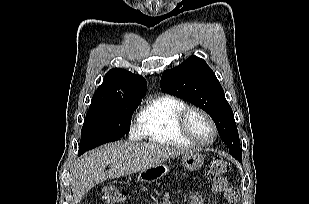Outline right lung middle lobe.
I'll use <instances>...</instances> for the list:
<instances>
[{
  "label": "right lung middle lobe",
  "instance_id": "right-lung-middle-lobe-1",
  "mask_svg": "<svg viewBox=\"0 0 309 204\" xmlns=\"http://www.w3.org/2000/svg\"><path fill=\"white\" fill-rule=\"evenodd\" d=\"M141 99H119L90 105L81 131L78 155L129 132L133 112Z\"/></svg>",
  "mask_w": 309,
  "mask_h": 204
}]
</instances>
